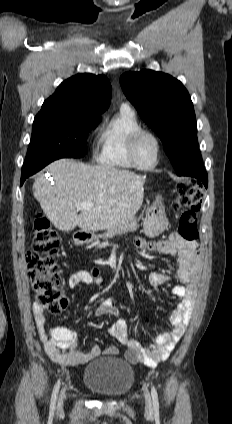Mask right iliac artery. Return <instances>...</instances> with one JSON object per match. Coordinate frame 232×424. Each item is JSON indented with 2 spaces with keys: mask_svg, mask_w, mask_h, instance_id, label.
<instances>
[{
  "mask_svg": "<svg viewBox=\"0 0 232 424\" xmlns=\"http://www.w3.org/2000/svg\"><path fill=\"white\" fill-rule=\"evenodd\" d=\"M60 379L57 381V383L54 386L53 393L51 396V403H50V410L53 412L56 406L57 396L60 388Z\"/></svg>",
  "mask_w": 232,
  "mask_h": 424,
  "instance_id": "obj_1",
  "label": "right iliac artery"
}]
</instances>
